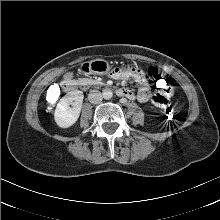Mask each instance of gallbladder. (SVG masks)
Returning <instances> with one entry per match:
<instances>
[{"label": "gallbladder", "instance_id": "bac80fb5", "mask_svg": "<svg viewBox=\"0 0 220 220\" xmlns=\"http://www.w3.org/2000/svg\"><path fill=\"white\" fill-rule=\"evenodd\" d=\"M72 74L70 73V74H68V76H71Z\"/></svg>", "mask_w": 220, "mask_h": 220}]
</instances>
